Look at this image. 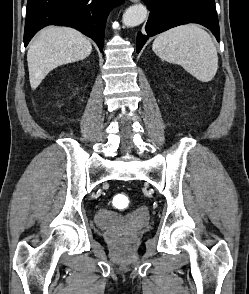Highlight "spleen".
Masks as SVG:
<instances>
[{
	"label": "spleen",
	"mask_w": 249,
	"mask_h": 294,
	"mask_svg": "<svg viewBox=\"0 0 249 294\" xmlns=\"http://www.w3.org/2000/svg\"><path fill=\"white\" fill-rule=\"evenodd\" d=\"M152 49L161 59L181 65L202 82L211 81L218 69L213 39L198 25H181L159 34Z\"/></svg>",
	"instance_id": "3e777b00"
}]
</instances>
